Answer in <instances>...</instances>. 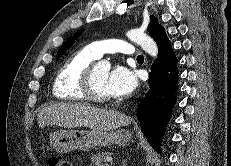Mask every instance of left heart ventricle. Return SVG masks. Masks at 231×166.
Masks as SVG:
<instances>
[{
	"instance_id": "left-heart-ventricle-1",
	"label": "left heart ventricle",
	"mask_w": 231,
	"mask_h": 166,
	"mask_svg": "<svg viewBox=\"0 0 231 166\" xmlns=\"http://www.w3.org/2000/svg\"><path fill=\"white\" fill-rule=\"evenodd\" d=\"M107 76H108L107 69L101 66L95 67L94 81H95L96 88L100 93L109 96V93L107 92V89H106Z\"/></svg>"
}]
</instances>
